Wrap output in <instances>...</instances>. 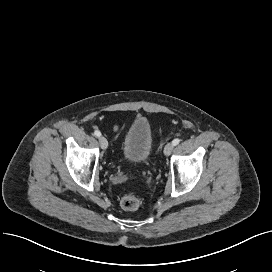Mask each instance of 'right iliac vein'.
<instances>
[{
    "mask_svg": "<svg viewBox=\"0 0 272 272\" xmlns=\"http://www.w3.org/2000/svg\"><path fill=\"white\" fill-rule=\"evenodd\" d=\"M99 143H100V146H101L102 149H107L108 141H107V139L105 137L100 136L99 137Z\"/></svg>",
    "mask_w": 272,
    "mask_h": 272,
    "instance_id": "63e3f726",
    "label": "right iliac vein"
}]
</instances>
